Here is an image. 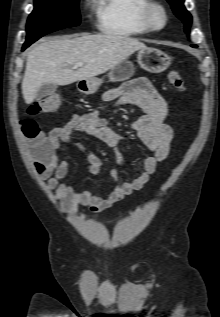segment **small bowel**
Masks as SVG:
<instances>
[{
	"mask_svg": "<svg viewBox=\"0 0 220 317\" xmlns=\"http://www.w3.org/2000/svg\"><path fill=\"white\" fill-rule=\"evenodd\" d=\"M102 99L116 100V106L135 105L144 111V115L133 123V129L150 154L144 158L131 181L121 182L118 171H111L114 187L106 195H97L90 190H75L72 186L61 183V180L67 176L70 166L67 160L59 161L61 144L79 149L86 158L87 171L97 175L103 168V160L92 153L86 145L73 142L72 135L85 133L117 151L126 137L114 131L95 110L82 115H73L66 124L52 129L49 133L55 149L52 162L44 168H38L37 171L41 179L47 182L48 188L56 190V199L69 214H75L79 206L91 212H101L142 189L156 172L158 165L166 159L170 150L174 133L166 124L168 104L148 79H133L119 88L105 92ZM118 158L124 163V157L120 152Z\"/></svg>",
	"mask_w": 220,
	"mask_h": 317,
	"instance_id": "obj_1",
	"label": "small bowel"
}]
</instances>
